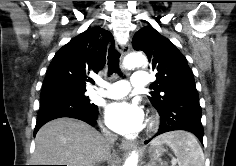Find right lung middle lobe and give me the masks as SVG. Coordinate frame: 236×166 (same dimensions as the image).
I'll use <instances>...</instances> for the list:
<instances>
[{
	"instance_id": "right-lung-middle-lobe-1",
	"label": "right lung middle lobe",
	"mask_w": 236,
	"mask_h": 166,
	"mask_svg": "<svg viewBox=\"0 0 236 166\" xmlns=\"http://www.w3.org/2000/svg\"><path fill=\"white\" fill-rule=\"evenodd\" d=\"M85 92L86 89H78L69 86H53L42 89L40 110H53L57 107L97 109L96 105L90 103Z\"/></svg>"
}]
</instances>
